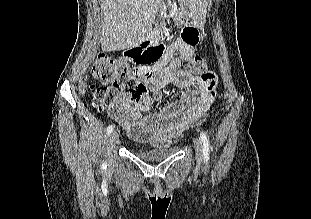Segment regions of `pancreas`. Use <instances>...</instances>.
Returning <instances> with one entry per match:
<instances>
[{"label":"pancreas","instance_id":"1","mask_svg":"<svg viewBox=\"0 0 311 219\" xmlns=\"http://www.w3.org/2000/svg\"><path fill=\"white\" fill-rule=\"evenodd\" d=\"M176 11H177L176 6L171 5V9L169 10L168 15L166 13V10H162L161 13L164 14L165 17H172Z\"/></svg>","mask_w":311,"mask_h":219}]
</instances>
